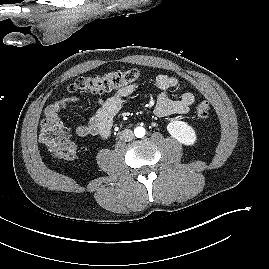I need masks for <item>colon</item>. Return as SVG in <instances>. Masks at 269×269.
<instances>
[{"label":"colon","instance_id":"colon-1","mask_svg":"<svg viewBox=\"0 0 269 269\" xmlns=\"http://www.w3.org/2000/svg\"><path fill=\"white\" fill-rule=\"evenodd\" d=\"M140 78L141 73L137 69L111 71L102 75L79 77L67 87V91L81 94L103 93L133 84ZM195 114L199 119L206 120L210 115L209 103L206 101L199 103L195 108ZM39 138L54 156L64 160L72 159L75 156V145L66 137L59 121L44 119L40 125Z\"/></svg>","mask_w":269,"mask_h":269}]
</instances>
